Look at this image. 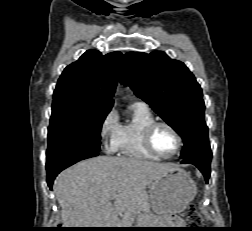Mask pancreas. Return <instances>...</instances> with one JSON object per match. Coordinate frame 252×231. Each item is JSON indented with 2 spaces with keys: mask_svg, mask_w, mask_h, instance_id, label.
<instances>
[{
  "mask_svg": "<svg viewBox=\"0 0 252 231\" xmlns=\"http://www.w3.org/2000/svg\"><path fill=\"white\" fill-rule=\"evenodd\" d=\"M148 201H149V196L146 192H142L141 194L138 195V197L136 198V202L135 204L138 207H146L148 206ZM129 222V220H126L125 218L122 220V224H127Z\"/></svg>",
  "mask_w": 252,
  "mask_h": 231,
  "instance_id": "cf45deb5",
  "label": "pancreas"
}]
</instances>
